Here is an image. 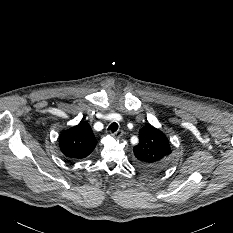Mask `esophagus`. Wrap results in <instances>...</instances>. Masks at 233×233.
<instances>
[{
	"label": "esophagus",
	"instance_id": "34e87169",
	"mask_svg": "<svg viewBox=\"0 0 233 233\" xmlns=\"http://www.w3.org/2000/svg\"><path fill=\"white\" fill-rule=\"evenodd\" d=\"M115 138H121L123 136V131L122 130H117L116 132L113 133Z\"/></svg>",
	"mask_w": 233,
	"mask_h": 233
}]
</instances>
